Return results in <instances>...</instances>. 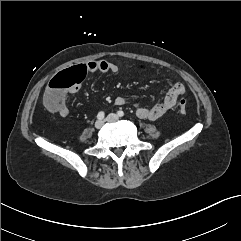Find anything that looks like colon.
I'll use <instances>...</instances> for the list:
<instances>
[{
    "mask_svg": "<svg viewBox=\"0 0 241 241\" xmlns=\"http://www.w3.org/2000/svg\"><path fill=\"white\" fill-rule=\"evenodd\" d=\"M87 75L86 67L81 63L74 64L71 69H66L55 75L49 82L44 96V104L48 109L58 105L65 93L77 86ZM179 112L186 114L187 102H179Z\"/></svg>",
    "mask_w": 241,
    "mask_h": 241,
    "instance_id": "1",
    "label": "colon"
}]
</instances>
